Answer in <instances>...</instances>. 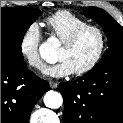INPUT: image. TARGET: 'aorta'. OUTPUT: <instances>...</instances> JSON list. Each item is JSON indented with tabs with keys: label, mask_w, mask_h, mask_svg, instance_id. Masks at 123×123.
I'll list each match as a JSON object with an SVG mask.
<instances>
[{
	"label": "aorta",
	"mask_w": 123,
	"mask_h": 123,
	"mask_svg": "<svg viewBox=\"0 0 123 123\" xmlns=\"http://www.w3.org/2000/svg\"><path fill=\"white\" fill-rule=\"evenodd\" d=\"M40 56L49 61L51 58L55 57V47L52 39H48L46 42L42 43L39 47ZM63 98L60 93L55 91H48L44 95V104L46 107L51 109H58L62 106Z\"/></svg>",
	"instance_id": "1"
}]
</instances>
